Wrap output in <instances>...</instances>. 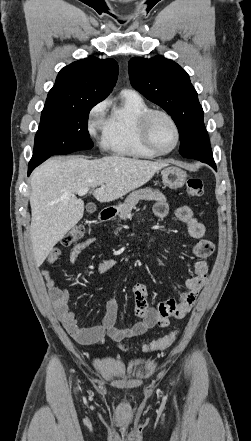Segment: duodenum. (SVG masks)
<instances>
[{
	"label": "duodenum",
	"mask_w": 251,
	"mask_h": 441,
	"mask_svg": "<svg viewBox=\"0 0 251 441\" xmlns=\"http://www.w3.org/2000/svg\"><path fill=\"white\" fill-rule=\"evenodd\" d=\"M116 213H117V210L114 207H109V208L103 209L100 212L99 219L102 222L109 221L116 215Z\"/></svg>",
	"instance_id": "obj_1"
}]
</instances>
